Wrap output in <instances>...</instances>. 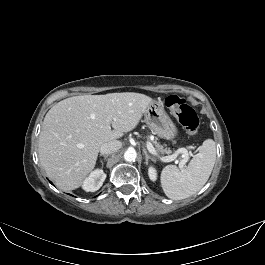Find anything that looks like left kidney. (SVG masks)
<instances>
[{
	"mask_svg": "<svg viewBox=\"0 0 265 265\" xmlns=\"http://www.w3.org/2000/svg\"><path fill=\"white\" fill-rule=\"evenodd\" d=\"M148 175H149V178L152 181H156L157 180V170L154 167H152V166L149 167Z\"/></svg>",
	"mask_w": 265,
	"mask_h": 265,
	"instance_id": "left-kidney-1",
	"label": "left kidney"
}]
</instances>
